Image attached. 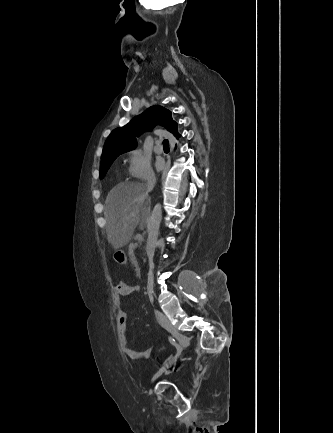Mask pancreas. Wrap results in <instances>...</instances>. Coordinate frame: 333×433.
<instances>
[{
    "mask_svg": "<svg viewBox=\"0 0 333 433\" xmlns=\"http://www.w3.org/2000/svg\"><path fill=\"white\" fill-rule=\"evenodd\" d=\"M137 246H138L137 243H135V244H131V245L129 246V256H130V260H131L132 264H133L135 267L138 266V263H137V261H136L135 255H134V250L136 249Z\"/></svg>",
    "mask_w": 333,
    "mask_h": 433,
    "instance_id": "cf45deb5",
    "label": "pancreas"
}]
</instances>
